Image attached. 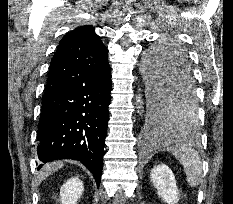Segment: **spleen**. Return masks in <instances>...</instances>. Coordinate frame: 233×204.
Wrapping results in <instances>:
<instances>
[{"mask_svg":"<svg viewBox=\"0 0 233 204\" xmlns=\"http://www.w3.org/2000/svg\"><path fill=\"white\" fill-rule=\"evenodd\" d=\"M171 152L182 164L188 185L192 188L198 187L203 178V167L198 151L188 144L178 143L171 147Z\"/></svg>","mask_w":233,"mask_h":204,"instance_id":"1","label":"spleen"}]
</instances>
